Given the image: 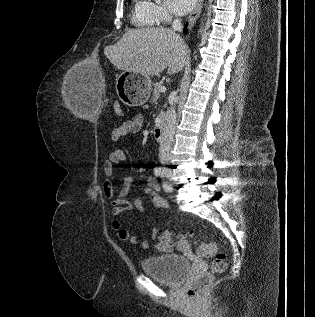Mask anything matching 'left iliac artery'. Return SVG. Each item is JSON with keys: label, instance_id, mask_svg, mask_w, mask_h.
<instances>
[{"label": "left iliac artery", "instance_id": "left-iliac-artery-1", "mask_svg": "<svg viewBox=\"0 0 315 317\" xmlns=\"http://www.w3.org/2000/svg\"><path fill=\"white\" fill-rule=\"evenodd\" d=\"M164 188H165V190H166L167 186H166V185H164Z\"/></svg>", "mask_w": 315, "mask_h": 317}]
</instances>
